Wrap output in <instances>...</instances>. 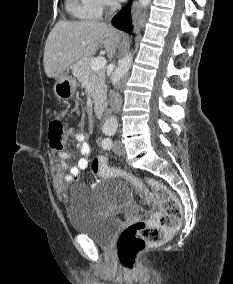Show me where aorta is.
Masks as SVG:
<instances>
[{
  "instance_id": "obj_1",
  "label": "aorta",
  "mask_w": 233,
  "mask_h": 284,
  "mask_svg": "<svg viewBox=\"0 0 233 284\" xmlns=\"http://www.w3.org/2000/svg\"><path fill=\"white\" fill-rule=\"evenodd\" d=\"M139 2L143 7H147L151 3V0H139ZM132 59L133 56L132 53L130 52L126 54L125 57L120 61L118 67L115 69L113 76L111 78L113 86H117L122 80V78L126 75V73L131 67ZM117 125L118 122L116 117L114 116L109 117L105 122V126L107 128L116 129Z\"/></svg>"
}]
</instances>
